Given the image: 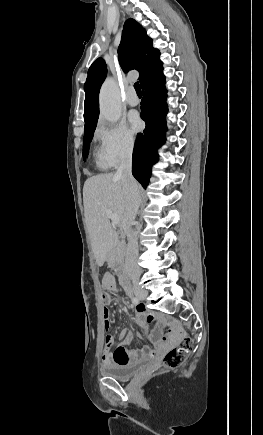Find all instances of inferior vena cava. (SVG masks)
Returning <instances> with one entry per match:
<instances>
[{"instance_id": "obj_1", "label": "inferior vena cava", "mask_w": 263, "mask_h": 435, "mask_svg": "<svg viewBox=\"0 0 263 435\" xmlns=\"http://www.w3.org/2000/svg\"><path fill=\"white\" fill-rule=\"evenodd\" d=\"M132 149L128 150L122 157L116 175L122 179L124 192L126 195V214L129 218L128 224V245L125 257V270L128 275H138L139 269L137 266L138 255V240L137 233L131 229V224L134 222L141 198L139 187L136 180L132 176Z\"/></svg>"}]
</instances>
